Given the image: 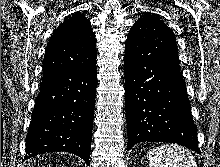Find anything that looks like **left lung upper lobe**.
I'll return each instance as SVG.
<instances>
[{
    "label": "left lung upper lobe",
    "instance_id": "1",
    "mask_svg": "<svg viewBox=\"0 0 220 167\" xmlns=\"http://www.w3.org/2000/svg\"><path fill=\"white\" fill-rule=\"evenodd\" d=\"M125 52L138 59L159 60L179 66L176 38L162 20L145 13L129 31Z\"/></svg>",
    "mask_w": 220,
    "mask_h": 167
}]
</instances>
